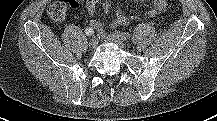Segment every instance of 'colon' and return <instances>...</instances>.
<instances>
[{
    "label": "colon",
    "instance_id": "obj_1",
    "mask_svg": "<svg viewBox=\"0 0 217 121\" xmlns=\"http://www.w3.org/2000/svg\"><path fill=\"white\" fill-rule=\"evenodd\" d=\"M48 16L54 21H62L66 17L67 5L64 1L53 2L47 9Z\"/></svg>",
    "mask_w": 217,
    "mask_h": 121
}]
</instances>
